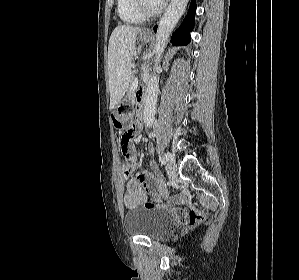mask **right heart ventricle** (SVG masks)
Segmentation results:
<instances>
[{"instance_id": "e07e8e85", "label": "right heart ventricle", "mask_w": 299, "mask_h": 280, "mask_svg": "<svg viewBox=\"0 0 299 280\" xmlns=\"http://www.w3.org/2000/svg\"><path fill=\"white\" fill-rule=\"evenodd\" d=\"M117 14L127 24H140L145 20L137 10L135 0H117Z\"/></svg>"}]
</instances>
